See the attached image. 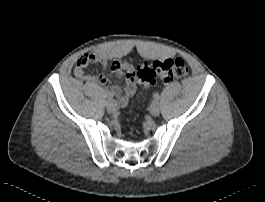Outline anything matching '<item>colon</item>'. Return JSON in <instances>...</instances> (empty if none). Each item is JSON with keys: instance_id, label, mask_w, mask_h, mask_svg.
I'll return each mask as SVG.
<instances>
[{"instance_id": "5ec220e1", "label": "colon", "mask_w": 265, "mask_h": 202, "mask_svg": "<svg viewBox=\"0 0 265 202\" xmlns=\"http://www.w3.org/2000/svg\"><path fill=\"white\" fill-rule=\"evenodd\" d=\"M189 68L181 58L158 60L152 63L142 62L136 66L133 76L138 80L142 89L155 85L158 79L165 83L186 77Z\"/></svg>"}]
</instances>
